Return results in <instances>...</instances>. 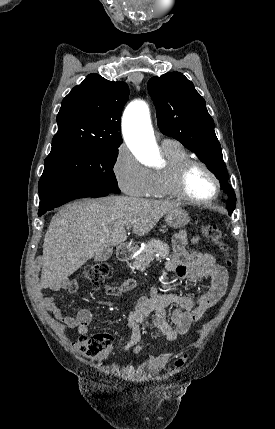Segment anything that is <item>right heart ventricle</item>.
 Returning <instances> with one entry per match:
<instances>
[{
	"label": "right heart ventricle",
	"instance_id": "1",
	"mask_svg": "<svg viewBox=\"0 0 275 429\" xmlns=\"http://www.w3.org/2000/svg\"><path fill=\"white\" fill-rule=\"evenodd\" d=\"M162 151L166 163L151 171V185L146 195L153 198H176L171 187L172 174L181 162L190 158V155L179 143L162 145Z\"/></svg>",
	"mask_w": 275,
	"mask_h": 429
}]
</instances>
